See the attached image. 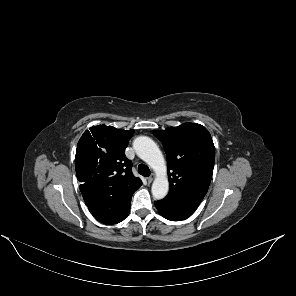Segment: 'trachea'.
<instances>
[{
  "label": "trachea",
  "mask_w": 296,
  "mask_h": 296,
  "mask_svg": "<svg viewBox=\"0 0 296 296\" xmlns=\"http://www.w3.org/2000/svg\"><path fill=\"white\" fill-rule=\"evenodd\" d=\"M138 172H139V174H141L144 177L150 176V170H149L148 166H146L145 164L138 165Z\"/></svg>",
  "instance_id": "1"
}]
</instances>
